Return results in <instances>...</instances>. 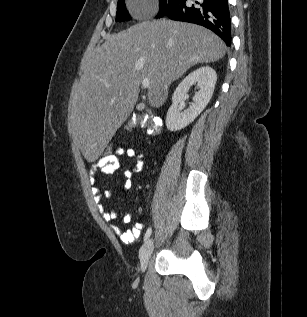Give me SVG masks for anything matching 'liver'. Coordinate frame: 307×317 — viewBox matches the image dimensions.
I'll use <instances>...</instances> for the list:
<instances>
[{"label": "liver", "instance_id": "liver-1", "mask_svg": "<svg viewBox=\"0 0 307 317\" xmlns=\"http://www.w3.org/2000/svg\"><path fill=\"white\" fill-rule=\"evenodd\" d=\"M225 53V43L210 30L166 19L106 36L70 102L72 133L84 157L92 162L104 151L133 111L144 79L150 105L160 107L174 80Z\"/></svg>", "mask_w": 307, "mask_h": 317}]
</instances>
